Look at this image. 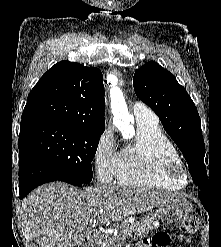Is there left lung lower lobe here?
Returning a JSON list of instances; mask_svg holds the SVG:
<instances>
[{
  "label": "left lung lower lobe",
  "instance_id": "0a47b994",
  "mask_svg": "<svg viewBox=\"0 0 221 247\" xmlns=\"http://www.w3.org/2000/svg\"><path fill=\"white\" fill-rule=\"evenodd\" d=\"M198 197L200 198L205 209H207L208 204H209V200H210L209 190H203V191L199 192Z\"/></svg>",
  "mask_w": 221,
  "mask_h": 247
}]
</instances>
